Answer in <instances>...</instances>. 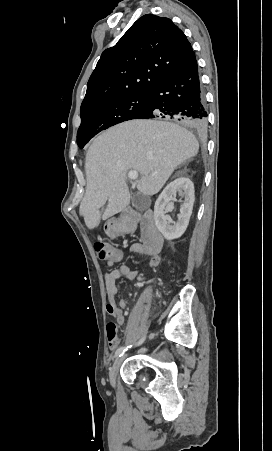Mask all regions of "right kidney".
Segmentation results:
<instances>
[{
	"mask_svg": "<svg viewBox=\"0 0 272 451\" xmlns=\"http://www.w3.org/2000/svg\"><path fill=\"white\" fill-rule=\"evenodd\" d=\"M176 196H180L182 206L178 214L177 222H173L169 216H165L166 206L173 210V202H176ZM183 198V200H182ZM195 202L194 184L189 178H176L170 182L157 198L154 206L155 224L159 231L163 233L166 239H175L184 233L189 224L190 216Z\"/></svg>",
	"mask_w": 272,
	"mask_h": 451,
	"instance_id": "right-kidney-1",
	"label": "right kidney"
}]
</instances>
